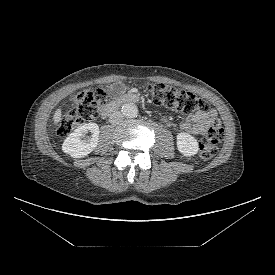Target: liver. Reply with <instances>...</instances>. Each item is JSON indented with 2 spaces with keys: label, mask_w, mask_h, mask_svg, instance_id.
Here are the masks:
<instances>
[{
  "label": "liver",
  "mask_w": 275,
  "mask_h": 275,
  "mask_svg": "<svg viewBox=\"0 0 275 275\" xmlns=\"http://www.w3.org/2000/svg\"><path fill=\"white\" fill-rule=\"evenodd\" d=\"M62 117V111H61V108H58L54 115H53V120H54V123L55 124H58L60 121H61V118Z\"/></svg>",
  "instance_id": "1"
}]
</instances>
